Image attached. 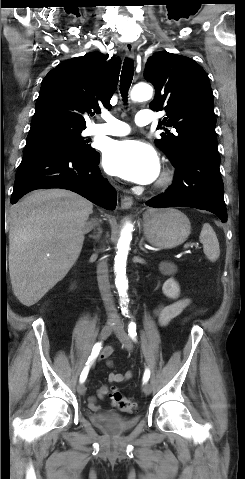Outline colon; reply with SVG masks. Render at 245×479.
Here are the masks:
<instances>
[{"label":"colon","mask_w":245,"mask_h":479,"mask_svg":"<svg viewBox=\"0 0 245 479\" xmlns=\"http://www.w3.org/2000/svg\"><path fill=\"white\" fill-rule=\"evenodd\" d=\"M109 396L114 406L123 412H132L136 409V403L125 397L118 389L111 388Z\"/></svg>","instance_id":"colon-1"}]
</instances>
